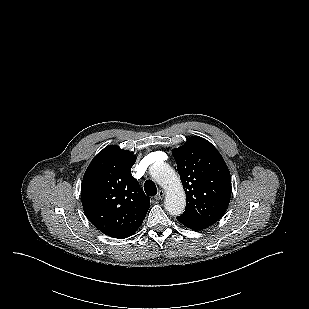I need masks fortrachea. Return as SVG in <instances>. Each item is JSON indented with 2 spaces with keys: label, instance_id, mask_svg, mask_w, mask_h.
Instances as JSON below:
<instances>
[{
  "label": "trachea",
  "instance_id": "1",
  "mask_svg": "<svg viewBox=\"0 0 309 309\" xmlns=\"http://www.w3.org/2000/svg\"><path fill=\"white\" fill-rule=\"evenodd\" d=\"M144 190L146 192L147 195L149 196H154L157 194V187L155 185V183L151 180H147L144 183Z\"/></svg>",
  "mask_w": 309,
  "mask_h": 309
}]
</instances>
